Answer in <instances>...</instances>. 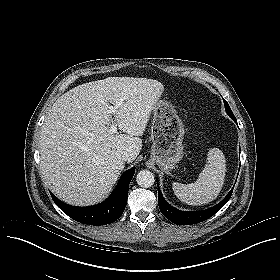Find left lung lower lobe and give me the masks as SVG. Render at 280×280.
Returning a JSON list of instances; mask_svg holds the SVG:
<instances>
[{"mask_svg": "<svg viewBox=\"0 0 280 280\" xmlns=\"http://www.w3.org/2000/svg\"><path fill=\"white\" fill-rule=\"evenodd\" d=\"M237 123V121H235ZM233 189L227 196L212 208L201 211H181L169 205L163 198L162 193L158 190V204L161 213L171 222L177 225H192L209 219L219 211L230 199Z\"/></svg>", "mask_w": 280, "mask_h": 280, "instance_id": "obj_1", "label": "left lung lower lobe"}]
</instances>
